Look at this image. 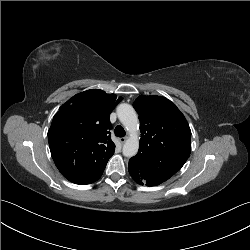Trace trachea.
<instances>
[{
  "mask_svg": "<svg viewBox=\"0 0 250 250\" xmlns=\"http://www.w3.org/2000/svg\"><path fill=\"white\" fill-rule=\"evenodd\" d=\"M114 133L117 137H124L126 135L125 130L120 125L116 126Z\"/></svg>",
  "mask_w": 250,
  "mask_h": 250,
  "instance_id": "1",
  "label": "trachea"
}]
</instances>
